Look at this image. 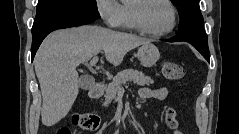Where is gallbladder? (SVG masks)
<instances>
[{
    "label": "gallbladder",
    "instance_id": "1",
    "mask_svg": "<svg viewBox=\"0 0 239 134\" xmlns=\"http://www.w3.org/2000/svg\"><path fill=\"white\" fill-rule=\"evenodd\" d=\"M94 83H95L94 79L88 76H82L79 79V86L85 90L91 88L94 85Z\"/></svg>",
    "mask_w": 239,
    "mask_h": 134
}]
</instances>
